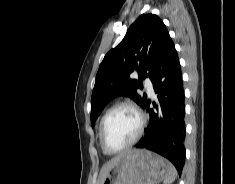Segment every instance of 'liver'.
Returning a JSON list of instances; mask_svg holds the SVG:
<instances>
[{"instance_id":"liver-1","label":"liver","mask_w":235,"mask_h":184,"mask_svg":"<svg viewBox=\"0 0 235 184\" xmlns=\"http://www.w3.org/2000/svg\"><path fill=\"white\" fill-rule=\"evenodd\" d=\"M123 156H126V154H120V156H116V158H112V160H110V162H107V164H104V166L100 172L98 184H103V180H105V178L107 176V172H109V170H110V168H112L113 164H116V162H119V160H121V158H123Z\"/></svg>"}]
</instances>
